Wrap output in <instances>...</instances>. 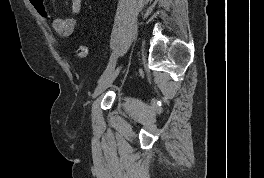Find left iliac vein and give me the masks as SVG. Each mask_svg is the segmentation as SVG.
<instances>
[{
	"label": "left iliac vein",
	"instance_id": "obj_1",
	"mask_svg": "<svg viewBox=\"0 0 264 178\" xmlns=\"http://www.w3.org/2000/svg\"><path fill=\"white\" fill-rule=\"evenodd\" d=\"M122 69V65H119L116 69H113L109 74L104 76L98 83V86L96 87L93 98L98 97L100 94H102L116 79L118 74L120 73Z\"/></svg>",
	"mask_w": 264,
	"mask_h": 178
}]
</instances>
